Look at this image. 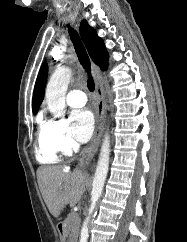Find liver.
<instances>
[{"label":"liver","instance_id":"1","mask_svg":"<svg viewBox=\"0 0 187 242\" xmlns=\"http://www.w3.org/2000/svg\"><path fill=\"white\" fill-rule=\"evenodd\" d=\"M37 179L46 206L56 218L66 205L74 206L80 201L88 184L87 173L63 166L40 167Z\"/></svg>","mask_w":187,"mask_h":242}]
</instances>
